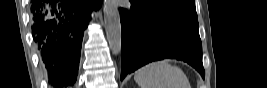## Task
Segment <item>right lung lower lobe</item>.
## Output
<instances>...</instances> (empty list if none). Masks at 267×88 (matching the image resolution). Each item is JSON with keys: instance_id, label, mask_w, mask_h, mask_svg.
Wrapping results in <instances>:
<instances>
[{"instance_id": "98d812e1", "label": "right lung lower lobe", "mask_w": 267, "mask_h": 88, "mask_svg": "<svg viewBox=\"0 0 267 88\" xmlns=\"http://www.w3.org/2000/svg\"><path fill=\"white\" fill-rule=\"evenodd\" d=\"M100 0H31L34 42L48 71L49 82L74 83L84 30Z\"/></svg>"}]
</instances>
